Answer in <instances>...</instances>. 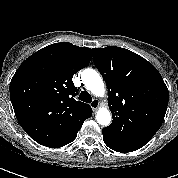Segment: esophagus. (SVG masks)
Instances as JSON below:
<instances>
[{
    "mask_svg": "<svg viewBox=\"0 0 178 178\" xmlns=\"http://www.w3.org/2000/svg\"><path fill=\"white\" fill-rule=\"evenodd\" d=\"M91 108L96 111L99 106H100V101L98 99H94L91 103H90Z\"/></svg>",
    "mask_w": 178,
    "mask_h": 178,
    "instance_id": "34e87169",
    "label": "esophagus"
}]
</instances>
